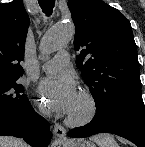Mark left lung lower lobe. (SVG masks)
<instances>
[{
    "instance_id": "left-lung-lower-lobe-1",
    "label": "left lung lower lobe",
    "mask_w": 145,
    "mask_h": 147,
    "mask_svg": "<svg viewBox=\"0 0 145 147\" xmlns=\"http://www.w3.org/2000/svg\"><path fill=\"white\" fill-rule=\"evenodd\" d=\"M98 133H112L133 142L137 147H145V106L143 101L119 108L105 120L96 116L82 127L69 131V137L84 138Z\"/></svg>"
}]
</instances>
